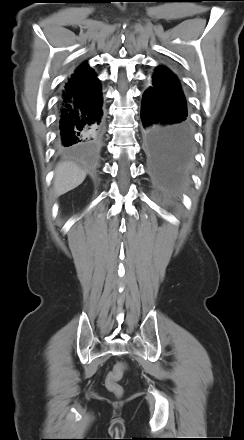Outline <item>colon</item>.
I'll list each match as a JSON object with an SVG mask.
<instances>
[{
	"mask_svg": "<svg viewBox=\"0 0 244 440\" xmlns=\"http://www.w3.org/2000/svg\"><path fill=\"white\" fill-rule=\"evenodd\" d=\"M125 368L126 365L123 362L116 364L108 373L105 380L106 388L116 396H121L123 394V387L120 385L119 381L123 376Z\"/></svg>",
	"mask_w": 244,
	"mask_h": 440,
	"instance_id": "1",
	"label": "colon"
}]
</instances>
